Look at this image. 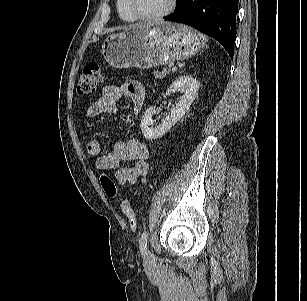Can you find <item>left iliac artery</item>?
<instances>
[{"instance_id": "1", "label": "left iliac artery", "mask_w": 307, "mask_h": 301, "mask_svg": "<svg viewBox=\"0 0 307 301\" xmlns=\"http://www.w3.org/2000/svg\"><path fill=\"white\" fill-rule=\"evenodd\" d=\"M147 239H148V232L145 230L141 237H140V250H141V253L143 254L146 250V247H147Z\"/></svg>"}]
</instances>
